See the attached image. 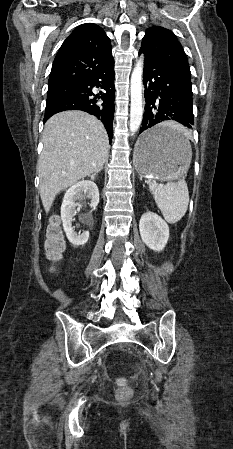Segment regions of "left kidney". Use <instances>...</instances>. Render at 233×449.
Returning a JSON list of instances; mask_svg holds the SVG:
<instances>
[{
    "label": "left kidney",
    "mask_w": 233,
    "mask_h": 449,
    "mask_svg": "<svg viewBox=\"0 0 233 449\" xmlns=\"http://www.w3.org/2000/svg\"><path fill=\"white\" fill-rule=\"evenodd\" d=\"M142 241L154 251H162L169 239V226L157 214L146 212L139 221Z\"/></svg>",
    "instance_id": "5707ae66"
}]
</instances>
